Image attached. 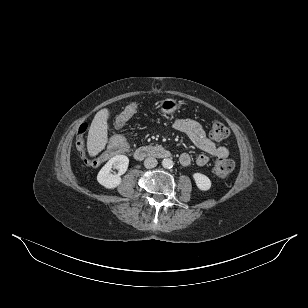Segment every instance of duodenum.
Wrapping results in <instances>:
<instances>
[{"label":"duodenum","instance_id":"410a0bca","mask_svg":"<svg viewBox=\"0 0 308 308\" xmlns=\"http://www.w3.org/2000/svg\"><path fill=\"white\" fill-rule=\"evenodd\" d=\"M147 157L169 158L171 152L161 146H143L139 147L134 152V158L142 160Z\"/></svg>","mask_w":308,"mask_h":308}]
</instances>
